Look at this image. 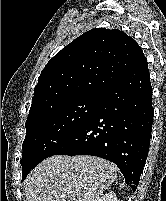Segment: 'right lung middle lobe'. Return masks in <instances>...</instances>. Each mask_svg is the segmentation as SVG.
<instances>
[{
  "label": "right lung middle lobe",
  "mask_w": 166,
  "mask_h": 201,
  "mask_svg": "<svg viewBox=\"0 0 166 201\" xmlns=\"http://www.w3.org/2000/svg\"><path fill=\"white\" fill-rule=\"evenodd\" d=\"M101 95H84L27 118L22 149V179L49 156L97 108Z\"/></svg>",
  "instance_id": "right-lung-middle-lobe-1"
}]
</instances>
